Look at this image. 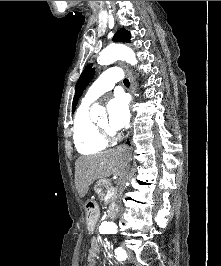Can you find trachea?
I'll return each mask as SVG.
<instances>
[{
  "label": "trachea",
  "instance_id": "3493384b",
  "mask_svg": "<svg viewBox=\"0 0 221 266\" xmlns=\"http://www.w3.org/2000/svg\"><path fill=\"white\" fill-rule=\"evenodd\" d=\"M123 83H124V85L127 86V87L130 85V82H129L128 79H124V80H123Z\"/></svg>",
  "mask_w": 221,
  "mask_h": 266
}]
</instances>
